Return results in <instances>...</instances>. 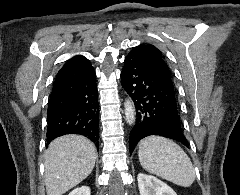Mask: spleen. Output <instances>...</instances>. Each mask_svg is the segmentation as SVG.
<instances>
[{"mask_svg":"<svg viewBox=\"0 0 240 195\" xmlns=\"http://www.w3.org/2000/svg\"><path fill=\"white\" fill-rule=\"evenodd\" d=\"M139 161L147 171L176 185L189 187L196 175L190 157L182 147L160 135H148L139 141Z\"/></svg>","mask_w":240,"mask_h":195,"instance_id":"obj_1","label":"spleen"}]
</instances>
